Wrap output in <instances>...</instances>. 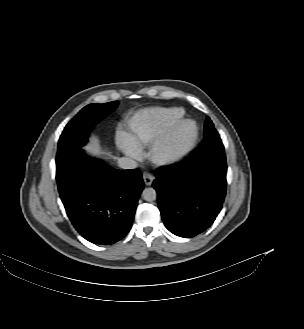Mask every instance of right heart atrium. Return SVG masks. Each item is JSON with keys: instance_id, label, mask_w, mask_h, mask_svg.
Wrapping results in <instances>:
<instances>
[{"instance_id": "right-heart-atrium-1", "label": "right heart atrium", "mask_w": 304, "mask_h": 329, "mask_svg": "<svg viewBox=\"0 0 304 329\" xmlns=\"http://www.w3.org/2000/svg\"><path fill=\"white\" fill-rule=\"evenodd\" d=\"M117 142L119 148L127 155L137 160L141 159V148L134 142V140L129 134L124 131H119L117 133Z\"/></svg>"}]
</instances>
